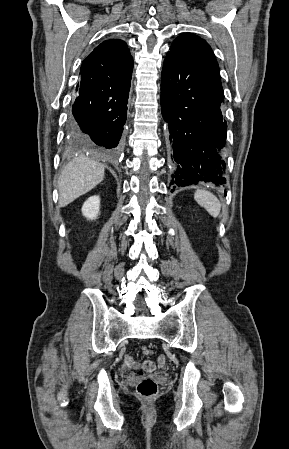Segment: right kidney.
I'll return each mask as SVG.
<instances>
[{"label": "right kidney", "instance_id": "ca27d5eb", "mask_svg": "<svg viewBox=\"0 0 289 449\" xmlns=\"http://www.w3.org/2000/svg\"><path fill=\"white\" fill-rule=\"evenodd\" d=\"M100 209V197L99 196H91L89 197L82 206V214L88 220L96 219L99 214Z\"/></svg>", "mask_w": 289, "mask_h": 449}]
</instances>
